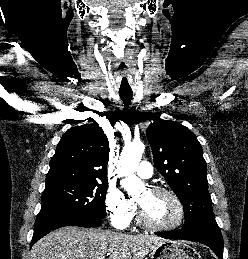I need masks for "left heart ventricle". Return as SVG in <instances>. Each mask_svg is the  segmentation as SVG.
Wrapping results in <instances>:
<instances>
[{"label": "left heart ventricle", "instance_id": "obj_1", "mask_svg": "<svg viewBox=\"0 0 248 259\" xmlns=\"http://www.w3.org/2000/svg\"><path fill=\"white\" fill-rule=\"evenodd\" d=\"M137 203L143 209L148 221L156 225L172 224L178 216L175 202L166 194L146 190Z\"/></svg>", "mask_w": 248, "mask_h": 259}]
</instances>
